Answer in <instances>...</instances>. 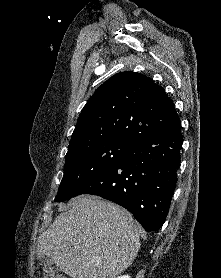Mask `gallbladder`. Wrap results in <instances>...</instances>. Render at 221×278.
<instances>
[{"instance_id":"1","label":"gallbladder","mask_w":221,"mask_h":278,"mask_svg":"<svg viewBox=\"0 0 221 278\" xmlns=\"http://www.w3.org/2000/svg\"><path fill=\"white\" fill-rule=\"evenodd\" d=\"M41 262L44 264V265H47V266H51L54 264L53 260L51 257H48L46 255L42 256L41 257Z\"/></svg>"}]
</instances>
